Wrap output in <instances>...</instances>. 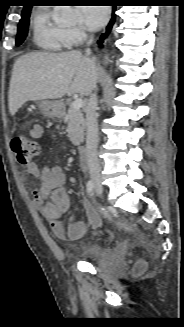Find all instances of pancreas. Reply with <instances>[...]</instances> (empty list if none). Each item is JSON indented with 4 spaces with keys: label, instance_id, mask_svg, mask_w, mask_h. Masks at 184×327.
Wrapping results in <instances>:
<instances>
[{
    "label": "pancreas",
    "instance_id": "obj_1",
    "mask_svg": "<svg viewBox=\"0 0 184 327\" xmlns=\"http://www.w3.org/2000/svg\"><path fill=\"white\" fill-rule=\"evenodd\" d=\"M68 137L73 145L78 146L84 140L85 120L80 110L70 107L65 115Z\"/></svg>",
    "mask_w": 184,
    "mask_h": 327
}]
</instances>
